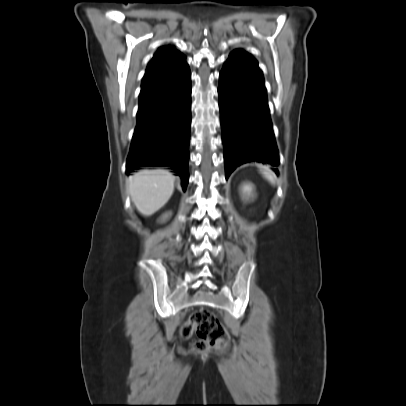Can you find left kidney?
I'll return each instance as SVG.
<instances>
[{
	"label": "left kidney",
	"mask_w": 406,
	"mask_h": 406,
	"mask_svg": "<svg viewBox=\"0 0 406 406\" xmlns=\"http://www.w3.org/2000/svg\"><path fill=\"white\" fill-rule=\"evenodd\" d=\"M251 191H252V186H251V185H244V186H243V192H244V193L250 194Z\"/></svg>",
	"instance_id": "5707ae66"
}]
</instances>
